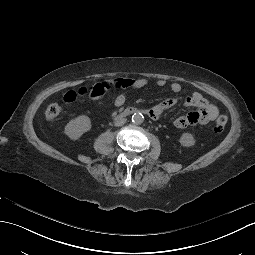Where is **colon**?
I'll list each match as a JSON object with an SVG mask.
<instances>
[{
	"mask_svg": "<svg viewBox=\"0 0 255 255\" xmlns=\"http://www.w3.org/2000/svg\"><path fill=\"white\" fill-rule=\"evenodd\" d=\"M62 111L61 106L58 103H50L47 105L45 109V115L47 119L53 120L57 118ZM228 123V117L225 114H221L215 121L214 124V131L215 132H222Z\"/></svg>",
	"mask_w": 255,
	"mask_h": 255,
	"instance_id": "1",
	"label": "colon"
}]
</instances>
